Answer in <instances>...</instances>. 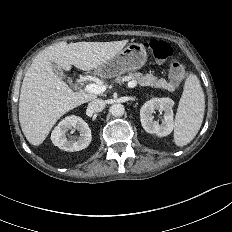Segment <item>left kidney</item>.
I'll return each mask as SVG.
<instances>
[{"label": "left kidney", "mask_w": 232, "mask_h": 232, "mask_svg": "<svg viewBox=\"0 0 232 232\" xmlns=\"http://www.w3.org/2000/svg\"><path fill=\"white\" fill-rule=\"evenodd\" d=\"M173 105L174 101L170 98H152L145 102L140 109V120L144 130L158 136L169 135L174 127ZM154 110L164 112V119L161 124L153 121L152 113Z\"/></svg>", "instance_id": "obj_1"}]
</instances>
